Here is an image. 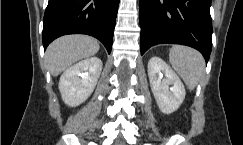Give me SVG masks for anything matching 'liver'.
I'll list each match as a JSON object with an SVG mask.
<instances>
[{
    "instance_id": "1",
    "label": "liver",
    "mask_w": 243,
    "mask_h": 145,
    "mask_svg": "<svg viewBox=\"0 0 243 145\" xmlns=\"http://www.w3.org/2000/svg\"><path fill=\"white\" fill-rule=\"evenodd\" d=\"M99 43L86 35H67L53 41L46 50V61L53 76H57L75 62L95 55Z\"/></svg>"
}]
</instances>
